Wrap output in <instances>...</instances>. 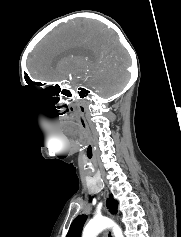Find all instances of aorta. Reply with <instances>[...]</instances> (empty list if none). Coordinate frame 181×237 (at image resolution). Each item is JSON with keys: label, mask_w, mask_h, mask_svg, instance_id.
I'll return each instance as SVG.
<instances>
[{"label": "aorta", "mask_w": 181, "mask_h": 237, "mask_svg": "<svg viewBox=\"0 0 181 237\" xmlns=\"http://www.w3.org/2000/svg\"><path fill=\"white\" fill-rule=\"evenodd\" d=\"M112 227L115 237H123L122 230L111 219L103 216L94 217L85 226L82 237H96L106 228Z\"/></svg>", "instance_id": "obj_1"}]
</instances>
